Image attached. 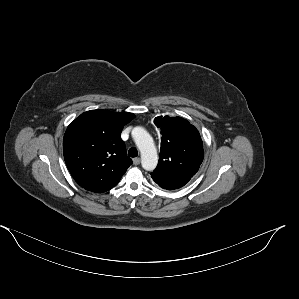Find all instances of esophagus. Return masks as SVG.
<instances>
[{
	"mask_svg": "<svg viewBox=\"0 0 299 299\" xmlns=\"http://www.w3.org/2000/svg\"><path fill=\"white\" fill-rule=\"evenodd\" d=\"M133 164L134 165H139L140 164V158L139 157H136L133 159Z\"/></svg>",
	"mask_w": 299,
	"mask_h": 299,
	"instance_id": "esophagus-1",
	"label": "esophagus"
}]
</instances>
